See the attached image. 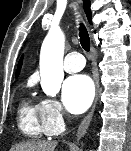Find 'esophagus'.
<instances>
[{"mask_svg": "<svg viewBox=\"0 0 131 151\" xmlns=\"http://www.w3.org/2000/svg\"><path fill=\"white\" fill-rule=\"evenodd\" d=\"M93 78H94L95 87H96V94H95L94 103H93V106H92L90 112L83 119V121L81 122V124H80V126L77 130V133H76L77 140L81 139L85 135V133H86L88 127H89V124L92 120L94 109H95V106H96V103H97V100H98V95H99V73H98V69H97L96 66L93 68Z\"/></svg>", "mask_w": 131, "mask_h": 151, "instance_id": "esophagus-1", "label": "esophagus"}]
</instances>
